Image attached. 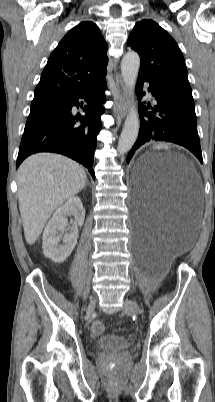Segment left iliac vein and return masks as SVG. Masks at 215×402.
Returning <instances> with one entry per match:
<instances>
[{
	"label": "left iliac vein",
	"mask_w": 215,
	"mask_h": 402,
	"mask_svg": "<svg viewBox=\"0 0 215 402\" xmlns=\"http://www.w3.org/2000/svg\"><path fill=\"white\" fill-rule=\"evenodd\" d=\"M123 310L126 313H133V314H136V315H140V314L143 313V310L138 305V303L136 301H133V300H130V299H126L124 301Z\"/></svg>",
	"instance_id": "obj_1"
}]
</instances>
